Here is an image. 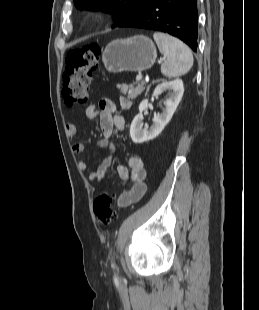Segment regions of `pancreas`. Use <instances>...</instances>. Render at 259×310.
Instances as JSON below:
<instances>
[{
  "label": "pancreas",
  "mask_w": 259,
  "mask_h": 310,
  "mask_svg": "<svg viewBox=\"0 0 259 310\" xmlns=\"http://www.w3.org/2000/svg\"><path fill=\"white\" fill-rule=\"evenodd\" d=\"M117 88L120 89L121 93L128 94V99H135L137 98L142 91L145 89V82H136L131 85L126 84H118Z\"/></svg>",
  "instance_id": "pancreas-1"
}]
</instances>
